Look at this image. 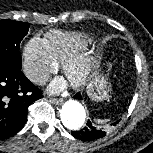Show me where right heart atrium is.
<instances>
[{"mask_svg":"<svg viewBox=\"0 0 153 153\" xmlns=\"http://www.w3.org/2000/svg\"><path fill=\"white\" fill-rule=\"evenodd\" d=\"M58 63L50 53L44 39L31 38L23 49V68L36 84L44 83L57 70Z\"/></svg>","mask_w":153,"mask_h":153,"instance_id":"obj_1","label":"right heart atrium"}]
</instances>
